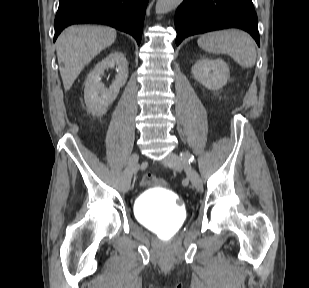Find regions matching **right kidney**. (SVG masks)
<instances>
[{"label":"right kidney","mask_w":309,"mask_h":288,"mask_svg":"<svg viewBox=\"0 0 309 288\" xmlns=\"http://www.w3.org/2000/svg\"><path fill=\"white\" fill-rule=\"evenodd\" d=\"M115 65L117 66L115 81L109 89H106L100 81V76L106 69ZM127 78L128 63L122 53L115 51L99 62L88 74L85 82L84 100L88 111L93 115L105 114L108 107L116 99L120 88L125 85Z\"/></svg>","instance_id":"1"}]
</instances>
